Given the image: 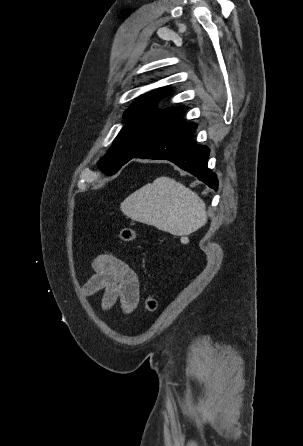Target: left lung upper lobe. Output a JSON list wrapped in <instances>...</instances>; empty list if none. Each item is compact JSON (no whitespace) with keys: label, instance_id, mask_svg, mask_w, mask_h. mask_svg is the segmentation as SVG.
<instances>
[{"label":"left lung upper lobe","instance_id":"1","mask_svg":"<svg viewBox=\"0 0 303 446\" xmlns=\"http://www.w3.org/2000/svg\"><path fill=\"white\" fill-rule=\"evenodd\" d=\"M169 93L170 90H157L146 94L126 110L125 117L130 118V122L121 129L112 147L98 162L101 170L112 174L124 159L171 135L185 123L182 114L186 107L156 109V103ZM139 114L143 116L135 118Z\"/></svg>","mask_w":303,"mask_h":446}]
</instances>
